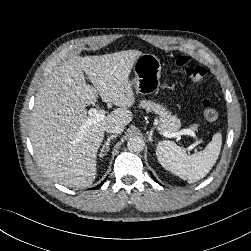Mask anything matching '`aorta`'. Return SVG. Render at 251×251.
I'll list each match as a JSON object with an SVG mask.
<instances>
[{"label":"aorta","instance_id":"1","mask_svg":"<svg viewBox=\"0 0 251 251\" xmlns=\"http://www.w3.org/2000/svg\"><path fill=\"white\" fill-rule=\"evenodd\" d=\"M145 142L140 136H131L128 139L127 147L132 152H141L144 149Z\"/></svg>","mask_w":251,"mask_h":251}]
</instances>
